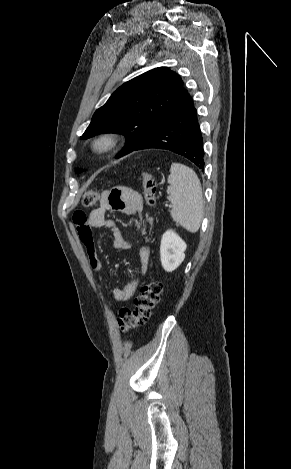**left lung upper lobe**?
Wrapping results in <instances>:
<instances>
[{
  "instance_id": "5c2ea615",
  "label": "left lung upper lobe",
  "mask_w": 291,
  "mask_h": 469,
  "mask_svg": "<svg viewBox=\"0 0 291 469\" xmlns=\"http://www.w3.org/2000/svg\"><path fill=\"white\" fill-rule=\"evenodd\" d=\"M180 76L167 67L145 72L120 86L94 113L81 136L120 133L127 144L116 158L136 147L185 96Z\"/></svg>"
}]
</instances>
